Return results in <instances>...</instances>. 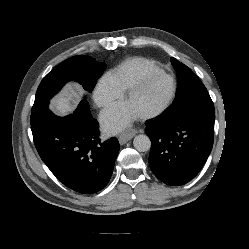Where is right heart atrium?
Returning a JSON list of instances; mask_svg holds the SVG:
<instances>
[{"instance_id": "obj_1", "label": "right heart atrium", "mask_w": 249, "mask_h": 249, "mask_svg": "<svg viewBox=\"0 0 249 249\" xmlns=\"http://www.w3.org/2000/svg\"><path fill=\"white\" fill-rule=\"evenodd\" d=\"M122 91L115 85L109 74L103 76L94 91V100L101 109H106L121 99Z\"/></svg>"}]
</instances>
